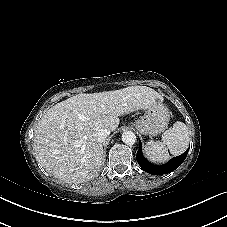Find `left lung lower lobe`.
I'll list each match as a JSON object with an SVG mask.
<instances>
[{
    "mask_svg": "<svg viewBox=\"0 0 227 227\" xmlns=\"http://www.w3.org/2000/svg\"><path fill=\"white\" fill-rule=\"evenodd\" d=\"M141 148H142V144L140 142L139 150L137 151V155H136L137 162L145 172L153 175H162V174H167L174 171L182 164V162L185 160L188 154V150H187L182 155L174 157L168 163L159 166V165H153L150 162H148L143 157Z\"/></svg>",
    "mask_w": 227,
    "mask_h": 227,
    "instance_id": "obj_1",
    "label": "left lung lower lobe"
}]
</instances>
